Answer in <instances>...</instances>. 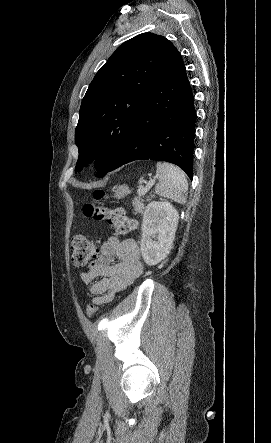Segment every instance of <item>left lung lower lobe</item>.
Returning <instances> with one entry per match:
<instances>
[{"label":"left lung lower lobe","instance_id":"obj_1","mask_svg":"<svg viewBox=\"0 0 271 443\" xmlns=\"http://www.w3.org/2000/svg\"><path fill=\"white\" fill-rule=\"evenodd\" d=\"M110 171L134 160L176 164L192 180L196 110L185 65L177 51L155 77Z\"/></svg>","mask_w":271,"mask_h":443}]
</instances>
